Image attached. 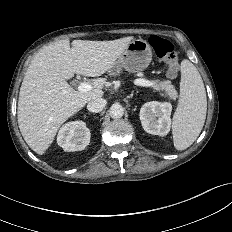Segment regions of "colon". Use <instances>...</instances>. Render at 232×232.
<instances>
[{
	"instance_id": "5ec220e1",
	"label": "colon",
	"mask_w": 232,
	"mask_h": 232,
	"mask_svg": "<svg viewBox=\"0 0 232 232\" xmlns=\"http://www.w3.org/2000/svg\"><path fill=\"white\" fill-rule=\"evenodd\" d=\"M149 43L152 46L156 56L167 64V75L170 78H175L179 72V62L173 44L167 39L158 35L151 36Z\"/></svg>"
}]
</instances>
